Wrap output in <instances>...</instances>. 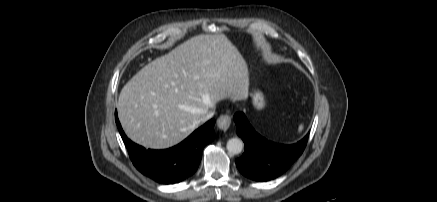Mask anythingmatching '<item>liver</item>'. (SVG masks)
I'll return each instance as SVG.
<instances>
[{
  "mask_svg": "<svg viewBox=\"0 0 437 202\" xmlns=\"http://www.w3.org/2000/svg\"><path fill=\"white\" fill-rule=\"evenodd\" d=\"M248 66L222 34L197 35L156 58L122 88L117 103L127 136L151 149L170 148L201 124L217 102L248 96Z\"/></svg>",
  "mask_w": 437,
  "mask_h": 202,
  "instance_id": "liver-1",
  "label": "liver"
}]
</instances>
